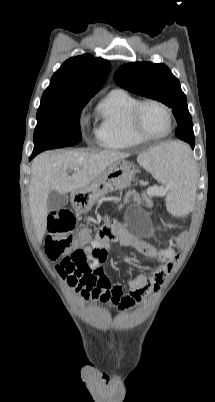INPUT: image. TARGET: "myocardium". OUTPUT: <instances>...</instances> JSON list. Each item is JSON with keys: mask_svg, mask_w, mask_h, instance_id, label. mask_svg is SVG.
<instances>
[{"mask_svg": "<svg viewBox=\"0 0 215 402\" xmlns=\"http://www.w3.org/2000/svg\"><path fill=\"white\" fill-rule=\"evenodd\" d=\"M150 104L160 107L162 110H164V112L167 115L168 123H169L168 129L165 133H163L161 135L149 134L142 127V124H141L142 110L146 105H150ZM130 124H131V128H132L133 132L139 138L144 139V140H160V139L167 137L172 132V129H173L172 111L165 103H163L160 100L153 99V98L140 100L137 102V104L133 107V109L131 111Z\"/></svg>", "mask_w": 215, "mask_h": 402, "instance_id": "1", "label": "myocardium"}]
</instances>
